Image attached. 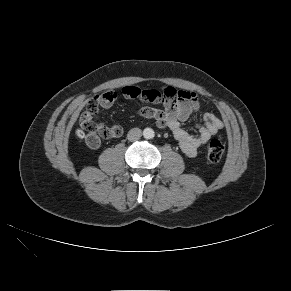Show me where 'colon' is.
I'll list each match as a JSON object with an SVG mask.
<instances>
[{
  "mask_svg": "<svg viewBox=\"0 0 291 291\" xmlns=\"http://www.w3.org/2000/svg\"><path fill=\"white\" fill-rule=\"evenodd\" d=\"M150 95V100H153L155 94ZM120 101L124 102L125 98L121 97ZM98 104L99 101L97 97L91 99L87 103L86 111L83 113L80 119L81 127L86 133L83 131H78L77 133L78 136H84L86 143L92 146H95L98 143L99 136L105 138H114L121 134L120 129L104 126L95 119V114L98 110ZM224 152L225 141L222 137L211 140L206 147V157L212 163L219 162Z\"/></svg>",
  "mask_w": 291,
  "mask_h": 291,
  "instance_id": "obj_1",
  "label": "colon"
}]
</instances>
